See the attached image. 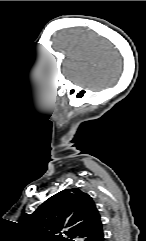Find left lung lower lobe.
<instances>
[{
	"label": "left lung lower lobe",
	"instance_id": "left-lung-lower-lobe-1",
	"mask_svg": "<svg viewBox=\"0 0 146 241\" xmlns=\"http://www.w3.org/2000/svg\"><path fill=\"white\" fill-rule=\"evenodd\" d=\"M81 237L84 238V241H103L104 234L102 229V222L99 220L92 227L88 228L83 232Z\"/></svg>",
	"mask_w": 146,
	"mask_h": 241
}]
</instances>
